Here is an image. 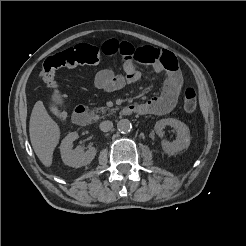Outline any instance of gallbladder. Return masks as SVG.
<instances>
[{
    "label": "gallbladder",
    "instance_id": "bac80fb5",
    "mask_svg": "<svg viewBox=\"0 0 246 246\" xmlns=\"http://www.w3.org/2000/svg\"><path fill=\"white\" fill-rule=\"evenodd\" d=\"M53 100L57 104H61L63 102L62 96L59 93H57V94L54 95Z\"/></svg>",
    "mask_w": 246,
    "mask_h": 246
}]
</instances>
